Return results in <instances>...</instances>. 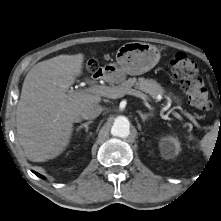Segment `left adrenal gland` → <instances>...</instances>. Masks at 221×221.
<instances>
[{
	"instance_id": "a2214340",
	"label": "left adrenal gland",
	"mask_w": 221,
	"mask_h": 221,
	"mask_svg": "<svg viewBox=\"0 0 221 221\" xmlns=\"http://www.w3.org/2000/svg\"><path fill=\"white\" fill-rule=\"evenodd\" d=\"M142 121L145 122L149 117H152L153 114L152 113H142L141 111L138 112Z\"/></svg>"
}]
</instances>
